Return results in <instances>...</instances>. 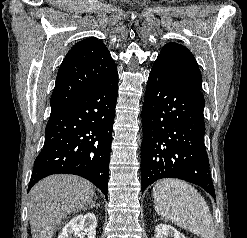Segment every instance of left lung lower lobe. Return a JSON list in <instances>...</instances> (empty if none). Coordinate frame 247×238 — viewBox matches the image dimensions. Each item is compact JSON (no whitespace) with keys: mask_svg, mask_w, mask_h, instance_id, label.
<instances>
[{"mask_svg":"<svg viewBox=\"0 0 247 238\" xmlns=\"http://www.w3.org/2000/svg\"><path fill=\"white\" fill-rule=\"evenodd\" d=\"M204 97L195 85L154 64L142 108V192L161 178H178L215 197L204 144Z\"/></svg>","mask_w":247,"mask_h":238,"instance_id":"1","label":"left lung lower lobe"}]
</instances>
